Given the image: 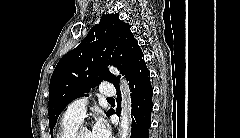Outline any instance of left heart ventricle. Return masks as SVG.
<instances>
[{"instance_id":"obj_1","label":"left heart ventricle","mask_w":240,"mask_h":138,"mask_svg":"<svg viewBox=\"0 0 240 138\" xmlns=\"http://www.w3.org/2000/svg\"><path fill=\"white\" fill-rule=\"evenodd\" d=\"M80 138H94L91 130L85 129L82 131Z\"/></svg>"}]
</instances>
